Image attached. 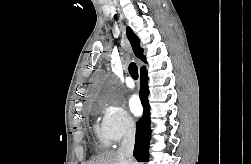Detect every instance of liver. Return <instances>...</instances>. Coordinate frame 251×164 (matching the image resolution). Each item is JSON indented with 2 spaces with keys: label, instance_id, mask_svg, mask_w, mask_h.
<instances>
[{
  "label": "liver",
  "instance_id": "6515ba94",
  "mask_svg": "<svg viewBox=\"0 0 251 164\" xmlns=\"http://www.w3.org/2000/svg\"><path fill=\"white\" fill-rule=\"evenodd\" d=\"M88 164H123V163L120 159L118 152L108 151L98 155L92 162Z\"/></svg>",
  "mask_w": 251,
  "mask_h": 164
}]
</instances>
